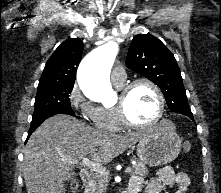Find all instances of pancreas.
I'll use <instances>...</instances> for the list:
<instances>
[{"label":"pancreas","mask_w":221,"mask_h":193,"mask_svg":"<svg viewBox=\"0 0 221 193\" xmlns=\"http://www.w3.org/2000/svg\"><path fill=\"white\" fill-rule=\"evenodd\" d=\"M131 169V176L138 175L143 177L148 174L147 167L141 161H138L135 165H132ZM107 183V175L96 173L86 185L85 193H103L107 189Z\"/></svg>","instance_id":"obj_1"}]
</instances>
